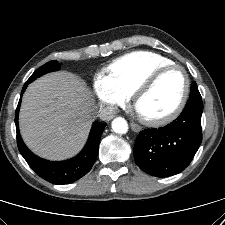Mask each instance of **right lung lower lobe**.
Instances as JSON below:
<instances>
[{
  "label": "right lung lower lobe",
  "mask_w": 225,
  "mask_h": 225,
  "mask_svg": "<svg viewBox=\"0 0 225 225\" xmlns=\"http://www.w3.org/2000/svg\"><path fill=\"white\" fill-rule=\"evenodd\" d=\"M29 83L31 82L27 81L25 83L21 92V97ZM21 97L15 115L17 145L20 153L27 161L29 166L43 179L50 183L59 185L74 182L87 174L96 160L101 134L106 126V123L95 122L93 124L86 146L80 152V154H78L73 159L62 162H52L41 159L34 155L26 147L19 133L18 112L20 108Z\"/></svg>",
  "instance_id": "obj_1"
}]
</instances>
